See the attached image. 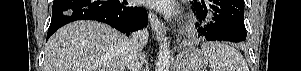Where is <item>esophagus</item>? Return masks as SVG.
Here are the masks:
<instances>
[{
	"label": "esophagus",
	"mask_w": 301,
	"mask_h": 71,
	"mask_svg": "<svg viewBox=\"0 0 301 71\" xmlns=\"http://www.w3.org/2000/svg\"><path fill=\"white\" fill-rule=\"evenodd\" d=\"M148 17L155 38L160 42L165 33V26L152 11L148 12Z\"/></svg>",
	"instance_id": "obj_1"
}]
</instances>
